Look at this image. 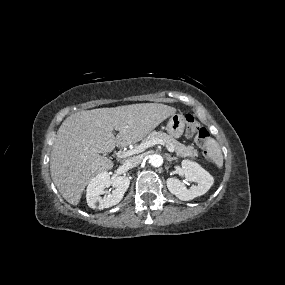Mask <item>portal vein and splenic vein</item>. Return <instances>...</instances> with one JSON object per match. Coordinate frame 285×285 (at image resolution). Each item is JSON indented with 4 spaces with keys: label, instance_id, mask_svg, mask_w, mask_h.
I'll return each instance as SVG.
<instances>
[{
    "label": "portal vein and splenic vein",
    "instance_id": "1",
    "mask_svg": "<svg viewBox=\"0 0 285 285\" xmlns=\"http://www.w3.org/2000/svg\"><path fill=\"white\" fill-rule=\"evenodd\" d=\"M157 144L165 145V147L167 148V150L169 152H172V153L174 152V149L171 146H169L168 144H166L163 140L155 139V140H152V141L140 144L138 146V148L135 149V150L120 151V152L117 153V156H118V158H126V157H129V156L133 155V154L142 152L145 149H147V148H149L151 146L157 145Z\"/></svg>",
    "mask_w": 285,
    "mask_h": 285
}]
</instances>
